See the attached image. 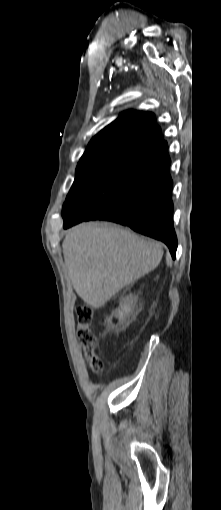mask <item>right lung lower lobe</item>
I'll use <instances>...</instances> for the list:
<instances>
[{"instance_id":"98d812e1","label":"right lung lower lobe","mask_w":221,"mask_h":510,"mask_svg":"<svg viewBox=\"0 0 221 510\" xmlns=\"http://www.w3.org/2000/svg\"><path fill=\"white\" fill-rule=\"evenodd\" d=\"M170 163L165 146L145 162L117 207L107 213L91 214L86 203H81L63 217L64 228L95 219L116 222L164 242L175 259L177 238L173 227Z\"/></svg>"}]
</instances>
